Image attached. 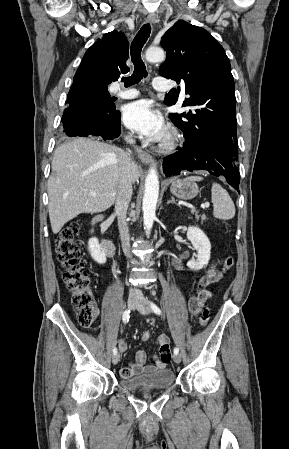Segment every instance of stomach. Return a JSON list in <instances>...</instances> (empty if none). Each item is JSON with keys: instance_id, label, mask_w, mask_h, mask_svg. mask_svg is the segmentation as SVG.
Listing matches in <instances>:
<instances>
[{"instance_id": "0dacf381", "label": "stomach", "mask_w": 289, "mask_h": 449, "mask_svg": "<svg viewBox=\"0 0 289 449\" xmlns=\"http://www.w3.org/2000/svg\"><path fill=\"white\" fill-rule=\"evenodd\" d=\"M171 193L179 199L191 200L195 198L199 192L195 182L186 179H176L170 186Z\"/></svg>"}]
</instances>
